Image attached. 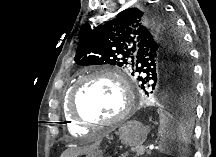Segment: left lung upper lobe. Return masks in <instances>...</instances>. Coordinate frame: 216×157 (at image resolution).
<instances>
[{"label":"left lung upper lobe","mask_w":216,"mask_h":157,"mask_svg":"<svg viewBox=\"0 0 216 157\" xmlns=\"http://www.w3.org/2000/svg\"><path fill=\"white\" fill-rule=\"evenodd\" d=\"M78 65L128 67L146 94L153 90L195 98L193 68L180 33L164 10L150 5L121 11L85 33L74 58Z\"/></svg>","instance_id":"1"}]
</instances>
